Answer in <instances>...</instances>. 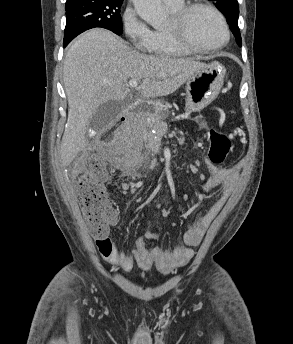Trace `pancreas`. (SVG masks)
<instances>
[{
  "instance_id": "pancreas-1",
  "label": "pancreas",
  "mask_w": 293,
  "mask_h": 344,
  "mask_svg": "<svg viewBox=\"0 0 293 344\" xmlns=\"http://www.w3.org/2000/svg\"><path fill=\"white\" fill-rule=\"evenodd\" d=\"M163 124V118L159 115H154L153 117H151V121L148 123H145L144 126H142L141 130L145 131L146 127H155V126H160Z\"/></svg>"
}]
</instances>
